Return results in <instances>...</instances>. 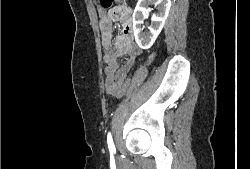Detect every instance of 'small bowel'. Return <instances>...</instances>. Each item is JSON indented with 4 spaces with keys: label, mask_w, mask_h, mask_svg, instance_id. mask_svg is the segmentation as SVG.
Masks as SVG:
<instances>
[{
    "label": "small bowel",
    "mask_w": 250,
    "mask_h": 169,
    "mask_svg": "<svg viewBox=\"0 0 250 169\" xmlns=\"http://www.w3.org/2000/svg\"><path fill=\"white\" fill-rule=\"evenodd\" d=\"M119 13L122 20L127 21V15L124 10L120 9ZM113 18V14L109 13L107 16L102 18L101 31H102V43L104 48V62H105V91L109 95H115L116 89H127L118 88V83H129L124 82V77H128L129 72L133 66L135 58H137L141 52L139 48L133 43L118 44L113 46L112 36L109 29V21ZM126 37L129 36V26L126 24L124 29ZM126 56V61L120 65L118 60L120 57Z\"/></svg>",
    "instance_id": "small-bowel-1"
}]
</instances>
